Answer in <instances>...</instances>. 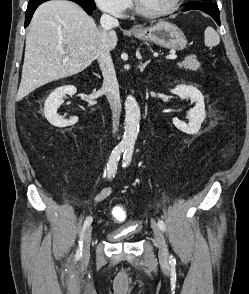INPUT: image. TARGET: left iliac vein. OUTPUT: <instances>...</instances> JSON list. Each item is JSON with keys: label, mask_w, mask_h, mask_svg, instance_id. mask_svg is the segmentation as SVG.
Returning a JSON list of instances; mask_svg holds the SVG:
<instances>
[{"label": "left iliac vein", "mask_w": 249, "mask_h": 294, "mask_svg": "<svg viewBox=\"0 0 249 294\" xmlns=\"http://www.w3.org/2000/svg\"><path fill=\"white\" fill-rule=\"evenodd\" d=\"M151 226H152L153 233H154L158 250H159V259L162 263L166 264L168 262V249H167V245H166L162 230L155 223V221L151 222Z\"/></svg>", "instance_id": "1"}]
</instances>
